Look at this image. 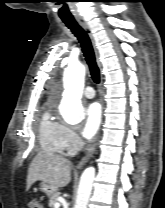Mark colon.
Listing matches in <instances>:
<instances>
[{
    "instance_id": "1",
    "label": "colon",
    "mask_w": 165,
    "mask_h": 208,
    "mask_svg": "<svg viewBox=\"0 0 165 208\" xmlns=\"http://www.w3.org/2000/svg\"><path fill=\"white\" fill-rule=\"evenodd\" d=\"M28 208H42V205L37 200H32L29 202Z\"/></svg>"
}]
</instances>
